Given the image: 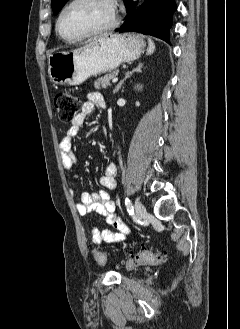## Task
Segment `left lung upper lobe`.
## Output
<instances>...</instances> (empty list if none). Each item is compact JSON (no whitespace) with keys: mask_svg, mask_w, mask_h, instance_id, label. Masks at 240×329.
<instances>
[{"mask_svg":"<svg viewBox=\"0 0 240 329\" xmlns=\"http://www.w3.org/2000/svg\"><path fill=\"white\" fill-rule=\"evenodd\" d=\"M67 1L68 0H52L51 6H52L54 14H57Z\"/></svg>","mask_w":240,"mask_h":329,"instance_id":"obj_1","label":"left lung upper lobe"}]
</instances>
